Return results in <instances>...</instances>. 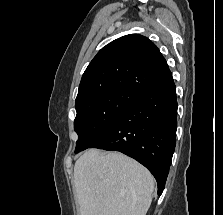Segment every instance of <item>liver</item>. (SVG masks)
<instances>
[{
    "instance_id": "6515ba94",
    "label": "liver",
    "mask_w": 223,
    "mask_h": 215,
    "mask_svg": "<svg viewBox=\"0 0 223 215\" xmlns=\"http://www.w3.org/2000/svg\"><path fill=\"white\" fill-rule=\"evenodd\" d=\"M80 215H146L154 177L120 151L87 149L74 165Z\"/></svg>"
}]
</instances>
